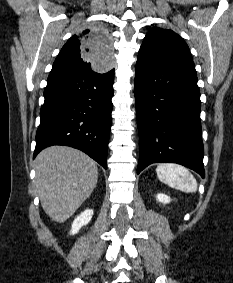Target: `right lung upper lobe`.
I'll return each mask as SVG.
<instances>
[{"mask_svg": "<svg viewBox=\"0 0 233 283\" xmlns=\"http://www.w3.org/2000/svg\"><path fill=\"white\" fill-rule=\"evenodd\" d=\"M104 27L86 28L72 36L55 59L51 73L75 70H111L116 49Z\"/></svg>", "mask_w": 233, "mask_h": 283, "instance_id": "1", "label": "right lung upper lobe"}]
</instances>
